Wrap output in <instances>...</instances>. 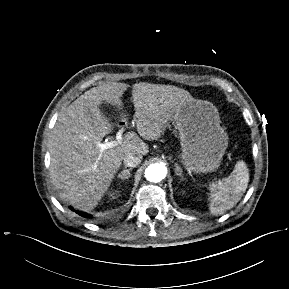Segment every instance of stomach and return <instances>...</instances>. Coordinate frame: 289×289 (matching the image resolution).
<instances>
[{
    "label": "stomach",
    "instance_id": "stomach-1",
    "mask_svg": "<svg viewBox=\"0 0 289 289\" xmlns=\"http://www.w3.org/2000/svg\"><path fill=\"white\" fill-rule=\"evenodd\" d=\"M174 119L186 169L195 173L217 170L228 146L217 108L208 101L192 99L181 106Z\"/></svg>",
    "mask_w": 289,
    "mask_h": 289
}]
</instances>
